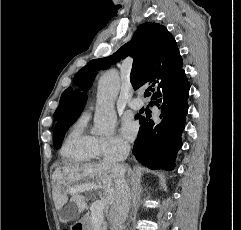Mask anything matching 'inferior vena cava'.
<instances>
[{"mask_svg": "<svg viewBox=\"0 0 241 230\" xmlns=\"http://www.w3.org/2000/svg\"><path fill=\"white\" fill-rule=\"evenodd\" d=\"M130 146L121 144L116 152L106 155L103 164L111 167L114 174L115 198L109 213L110 230H124L130 207V188L125 180L120 161L129 153Z\"/></svg>", "mask_w": 241, "mask_h": 230, "instance_id": "602c4592", "label": "inferior vena cava"}]
</instances>
